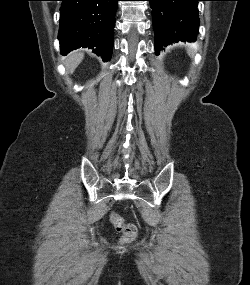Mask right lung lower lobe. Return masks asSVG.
I'll use <instances>...</instances> for the list:
<instances>
[{"instance_id": "1", "label": "right lung lower lobe", "mask_w": 250, "mask_h": 285, "mask_svg": "<svg viewBox=\"0 0 250 285\" xmlns=\"http://www.w3.org/2000/svg\"><path fill=\"white\" fill-rule=\"evenodd\" d=\"M58 39L61 54L88 47L109 61L119 0H60Z\"/></svg>"}]
</instances>
